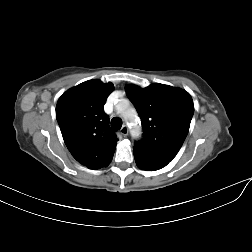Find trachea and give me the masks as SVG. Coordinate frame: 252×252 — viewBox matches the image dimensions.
<instances>
[{
    "instance_id": "1",
    "label": "trachea",
    "mask_w": 252,
    "mask_h": 252,
    "mask_svg": "<svg viewBox=\"0 0 252 252\" xmlns=\"http://www.w3.org/2000/svg\"><path fill=\"white\" fill-rule=\"evenodd\" d=\"M111 126L115 129H120L122 127V120L118 117H114L111 120Z\"/></svg>"
}]
</instances>
